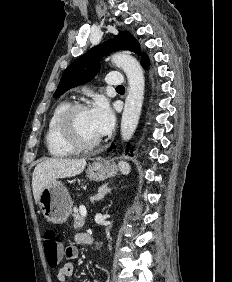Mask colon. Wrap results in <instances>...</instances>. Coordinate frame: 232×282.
I'll use <instances>...</instances> for the list:
<instances>
[{
	"label": "colon",
	"instance_id": "obj_1",
	"mask_svg": "<svg viewBox=\"0 0 232 282\" xmlns=\"http://www.w3.org/2000/svg\"><path fill=\"white\" fill-rule=\"evenodd\" d=\"M43 246L48 265L51 268H56L61 259L65 258L67 251L66 249H62L61 242L53 230L45 231L43 235Z\"/></svg>",
	"mask_w": 232,
	"mask_h": 282
}]
</instances>
